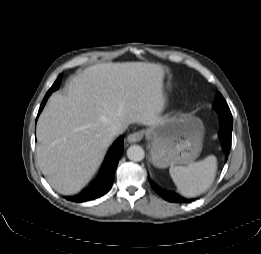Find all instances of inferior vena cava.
I'll list each match as a JSON object with an SVG mask.
<instances>
[{
  "label": "inferior vena cava",
  "instance_id": "inferior-vena-cava-1",
  "mask_svg": "<svg viewBox=\"0 0 261 254\" xmlns=\"http://www.w3.org/2000/svg\"><path fill=\"white\" fill-rule=\"evenodd\" d=\"M121 133V128L113 127L107 134L108 140H111L113 137Z\"/></svg>",
  "mask_w": 261,
  "mask_h": 254
}]
</instances>
